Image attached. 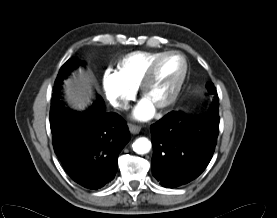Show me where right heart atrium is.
Segmentation results:
<instances>
[{"mask_svg":"<svg viewBox=\"0 0 277 218\" xmlns=\"http://www.w3.org/2000/svg\"><path fill=\"white\" fill-rule=\"evenodd\" d=\"M102 86L107 100L118 109L126 108L135 95V89L126 84L117 71L110 68L103 73Z\"/></svg>","mask_w":277,"mask_h":218,"instance_id":"right-heart-atrium-1","label":"right heart atrium"}]
</instances>
